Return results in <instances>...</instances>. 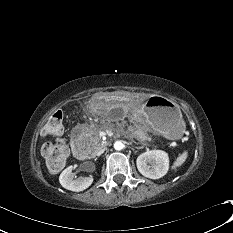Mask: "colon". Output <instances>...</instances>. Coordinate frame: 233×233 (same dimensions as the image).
I'll list each match as a JSON object with an SVG mask.
<instances>
[{
  "label": "colon",
  "instance_id": "obj_1",
  "mask_svg": "<svg viewBox=\"0 0 233 233\" xmlns=\"http://www.w3.org/2000/svg\"><path fill=\"white\" fill-rule=\"evenodd\" d=\"M63 117L62 111H55L44 126V134L59 135L63 131ZM43 155L49 170H60L65 165L68 156L67 144L61 139L55 142H47L43 145Z\"/></svg>",
  "mask_w": 233,
  "mask_h": 233
}]
</instances>
